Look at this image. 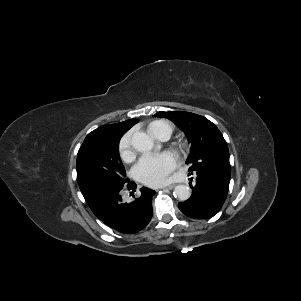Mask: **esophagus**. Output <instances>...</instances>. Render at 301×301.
Returning <instances> with one entry per match:
<instances>
[{"mask_svg":"<svg viewBox=\"0 0 301 301\" xmlns=\"http://www.w3.org/2000/svg\"><path fill=\"white\" fill-rule=\"evenodd\" d=\"M175 187V184H171V185H167V186H164L162 187V189H168V190H171Z\"/></svg>","mask_w":301,"mask_h":301,"instance_id":"esophagus-1","label":"esophagus"}]
</instances>
